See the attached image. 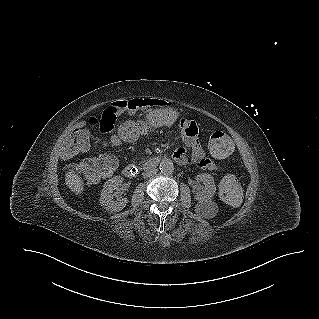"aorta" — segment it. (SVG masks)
I'll use <instances>...</instances> for the list:
<instances>
[{
	"instance_id": "762f6f07",
	"label": "aorta",
	"mask_w": 319,
	"mask_h": 319,
	"mask_svg": "<svg viewBox=\"0 0 319 319\" xmlns=\"http://www.w3.org/2000/svg\"><path fill=\"white\" fill-rule=\"evenodd\" d=\"M159 169L161 171L162 174H172V172L174 171V166L171 160L167 159V160H163L161 161L160 165H159Z\"/></svg>"
}]
</instances>
